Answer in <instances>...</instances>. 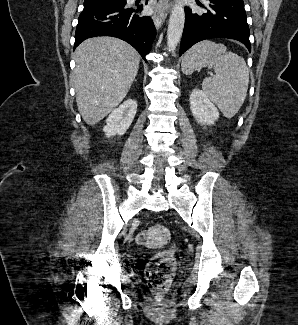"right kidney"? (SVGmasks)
<instances>
[{"mask_svg":"<svg viewBox=\"0 0 298 325\" xmlns=\"http://www.w3.org/2000/svg\"><path fill=\"white\" fill-rule=\"evenodd\" d=\"M137 110V100L127 98L118 108H114L106 118V124L103 126V132L106 136H115V134H124L129 128Z\"/></svg>","mask_w":298,"mask_h":325,"instance_id":"right-kidney-1","label":"right kidney"}]
</instances>
